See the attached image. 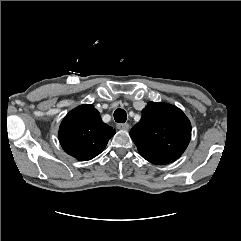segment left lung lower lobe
Returning <instances> with one entry per match:
<instances>
[{"instance_id": "1", "label": "left lung lower lobe", "mask_w": 241, "mask_h": 241, "mask_svg": "<svg viewBox=\"0 0 241 241\" xmlns=\"http://www.w3.org/2000/svg\"><path fill=\"white\" fill-rule=\"evenodd\" d=\"M141 156L145 158L147 161L157 165L168 164L176 160V159L164 158V157H152V156H145V155H141Z\"/></svg>"}]
</instances>
